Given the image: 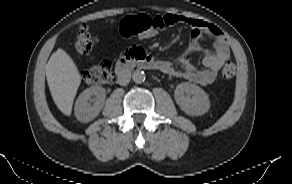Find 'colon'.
<instances>
[{
    "label": "colon",
    "instance_id": "obj_1",
    "mask_svg": "<svg viewBox=\"0 0 292 184\" xmlns=\"http://www.w3.org/2000/svg\"><path fill=\"white\" fill-rule=\"evenodd\" d=\"M162 28L155 17L140 14L124 18L119 26L120 34L124 37L138 36L143 40H153L160 34ZM97 44L96 38L90 32L87 26L80 28L75 47L83 55L91 53ZM236 74V66L233 63H227L223 70L224 79H231ZM82 79L87 84H108L113 81L112 64L109 60H102L93 67L84 71Z\"/></svg>",
    "mask_w": 292,
    "mask_h": 184
}]
</instances>
